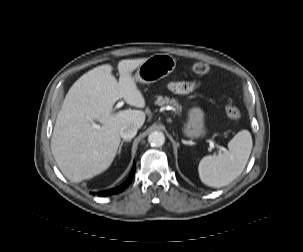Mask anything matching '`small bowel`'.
Segmentation results:
<instances>
[{
    "label": "small bowel",
    "mask_w": 303,
    "mask_h": 252,
    "mask_svg": "<svg viewBox=\"0 0 303 252\" xmlns=\"http://www.w3.org/2000/svg\"><path fill=\"white\" fill-rule=\"evenodd\" d=\"M196 88V83L189 81V82H179L173 81L169 83L168 89L177 95H188L192 93Z\"/></svg>",
    "instance_id": "1"
}]
</instances>
